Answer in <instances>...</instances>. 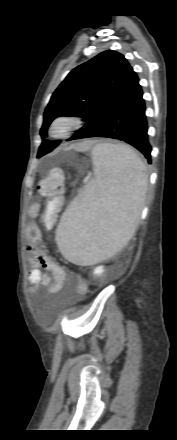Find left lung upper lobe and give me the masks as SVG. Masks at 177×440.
<instances>
[{
  "instance_id": "5c2ea615",
  "label": "left lung upper lobe",
  "mask_w": 177,
  "mask_h": 440,
  "mask_svg": "<svg viewBox=\"0 0 177 440\" xmlns=\"http://www.w3.org/2000/svg\"><path fill=\"white\" fill-rule=\"evenodd\" d=\"M139 78L125 57L112 50L104 51L73 69L53 93L44 113L40 131L58 116H77L86 123L68 140L81 139L101 126L133 94ZM60 141L43 139L37 157L51 152Z\"/></svg>"
}]
</instances>
